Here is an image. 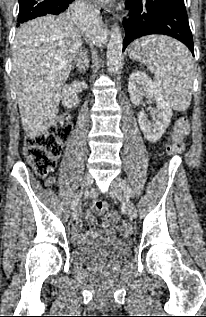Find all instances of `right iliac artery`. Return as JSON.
Here are the masks:
<instances>
[{
	"mask_svg": "<svg viewBox=\"0 0 206 317\" xmlns=\"http://www.w3.org/2000/svg\"><path fill=\"white\" fill-rule=\"evenodd\" d=\"M82 194H83V192L81 191V192H78V193L74 196V198H73V200H72V202H71V208H72L73 210H74V208L76 207V205L78 204L79 200L81 199Z\"/></svg>",
	"mask_w": 206,
	"mask_h": 317,
	"instance_id": "right-iliac-artery-1",
	"label": "right iliac artery"
}]
</instances>
